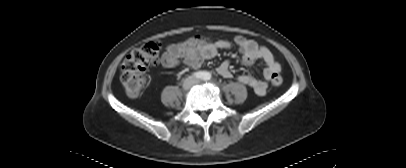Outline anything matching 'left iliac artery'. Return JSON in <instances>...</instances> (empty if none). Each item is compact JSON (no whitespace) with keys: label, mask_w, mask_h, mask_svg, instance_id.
<instances>
[{"label":"left iliac artery","mask_w":406,"mask_h":168,"mask_svg":"<svg viewBox=\"0 0 406 168\" xmlns=\"http://www.w3.org/2000/svg\"><path fill=\"white\" fill-rule=\"evenodd\" d=\"M210 78H211V75L209 73H206L203 79L205 81H208V80H210Z\"/></svg>","instance_id":"44dca946"}]
</instances>
